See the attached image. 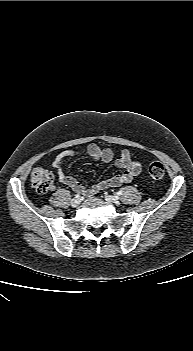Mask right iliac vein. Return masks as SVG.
I'll use <instances>...</instances> for the list:
<instances>
[{
  "label": "right iliac vein",
  "instance_id": "1",
  "mask_svg": "<svg viewBox=\"0 0 193 351\" xmlns=\"http://www.w3.org/2000/svg\"><path fill=\"white\" fill-rule=\"evenodd\" d=\"M79 204H80V200H79V199L73 198V199L71 200V206H72L73 208L77 207Z\"/></svg>",
  "mask_w": 193,
  "mask_h": 351
}]
</instances>
